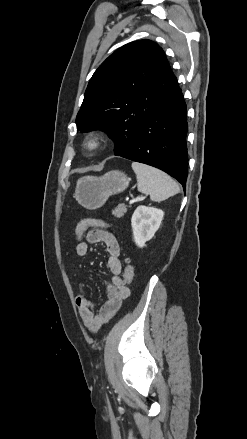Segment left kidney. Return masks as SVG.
<instances>
[{
	"label": "left kidney",
	"instance_id": "left-kidney-1",
	"mask_svg": "<svg viewBox=\"0 0 247 439\" xmlns=\"http://www.w3.org/2000/svg\"><path fill=\"white\" fill-rule=\"evenodd\" d=\"M164 212L160 209L138 206L131 219L133 238L135 244L143 248L159 229Z\"/></svg>",
	"mask_w": 247,
	"mask_h": 439
}]
</instances>
